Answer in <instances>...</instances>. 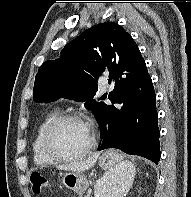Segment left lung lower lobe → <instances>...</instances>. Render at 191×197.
Returning a JSON list of instances; mask_svg holds the SVG:
<instances>
[{
	"instance_id": "left-lung-lower-lobe-1",
	"label": "left lung lower lobe",
	"mask_w": 191,
	"mask_h": 197,
	"mask_svg": "<svg viewBox=\"0 0 191 197\" xmlns=\"http://www.w3.org/2000/svg\"><path fill=\"white\" fill-rule=\"evenodd\" d=\"M113 104H104L96 119L102 125L98 150L117 148L158 163L160 159L156 95L146 67L135 72L116 74L109 79Z\"/></svg>"
}]
</instances>
